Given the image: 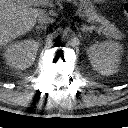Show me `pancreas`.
Here are the masks:
<instances>
[{"mask_svg": "<svg viewBox=\"0 0 128 128\" xmlns=\"http://www.w3.org/2000/svg\"><path fill=\"white\" fill-rule=\"evenodd\" d=\"M68 0H58V2ZM80 14L83 17H87L90 22H98V31L102 32L108 37L121 39L124 35L121 31L103 15L97 13L95 6L91 0H79Z\"/></svg>", "mask_w": 128, "mask_h": 128, "instance_id": "cf45deb5", "label": "pancreas"}]
</instances>
